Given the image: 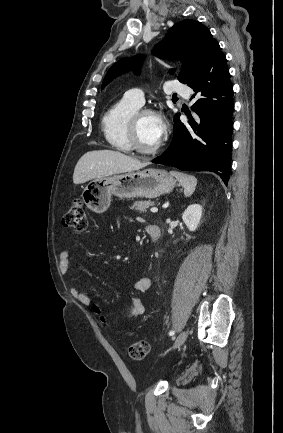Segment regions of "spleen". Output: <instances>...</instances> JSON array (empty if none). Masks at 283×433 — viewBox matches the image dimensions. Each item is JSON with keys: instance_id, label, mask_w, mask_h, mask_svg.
<instances>
[{"instance_id": "spleen-1", "label": "spleen", "mask_w": 283, "mask_h": 433, "mask_svg": "<svg viewBox=\"0 0 283 433\" xmlns=\"http://www.w3.org/2000/svg\"><path fill=\"white\" fill-rule=\"evenodd\" d=\"M170 174L175 176L179 184L183 186L185 196H191V194H193L197 184V178H195V176H192V174H183V172H177V170H171Z\"/></svg>"}]
</instances>
